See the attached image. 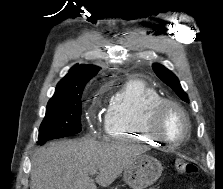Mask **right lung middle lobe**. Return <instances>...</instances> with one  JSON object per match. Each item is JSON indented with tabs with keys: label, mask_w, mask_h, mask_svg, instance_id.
I'll return each mask as SVG.
<instances>
[{
	"label": "right lung middle lobe",
	"mask_w": 223,
	"mask_h": 189,
	"mask_svg": "<svg viewBox=\"0 0 223 189\" xmlns=\"http://www.w3.org/2000/svg\"><path fill=\"white\" fill-rule=\"evenodd\" d=\"M78 91L67 96H53L39 129L38 144L77 134L81 131V96Z\"/></svg>",
	"instance_id": "obj_1"
}]
</instances>
